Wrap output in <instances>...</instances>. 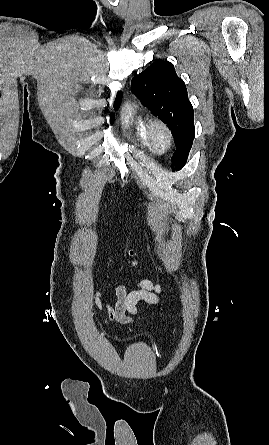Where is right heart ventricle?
<instances>
[{
  "mask_svg": "<svg viewBox=\"0 0 269 445\" xmlns=\"http://www.w3.org/2000/svg\"><path fill=\"white\" fill-rule=\"evenodd\" d=\"M122 121L124 126L131 131L141 146L151 149L146 134L148 119L143 111L136 105L129 104L123 111Z\"/></svg>",
  "mask_w": 269,
  "mask_h": 445,
  "instance_id": "obj_1",
  "label": "right heart ventricle"
}]
</instances>
